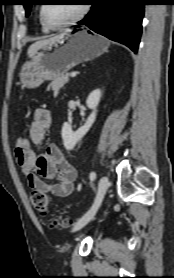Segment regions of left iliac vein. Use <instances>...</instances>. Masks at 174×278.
Returning <instances> with one entry per match:
<instances>
[{"instance_id":"left-iliac-vein-1","label":"left iliac vein","mask_w":174,"mask_h":278,"mask_svg":"<svg viewBox=\"0 0 174 278\" xmlns=\"http://www.w3.org/2000/svg\"><path fill=\"white\" fill-rule=\"evenodd\" d=\"M108 187H109V179L108 177L103 176L99 181L95 201L91 209L75 223L73 227V232L80 230L94 217V215L96 214L98 208L102 203V200L108 190Z\"/></svg>"}]
</instances>
